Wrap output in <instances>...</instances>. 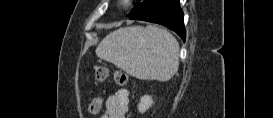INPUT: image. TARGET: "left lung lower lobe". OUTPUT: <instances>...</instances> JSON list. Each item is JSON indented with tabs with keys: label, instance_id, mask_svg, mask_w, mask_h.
Wrapping results in <instances>:
<instances>
[{
	"label": "left lung lower lobe",
	"instance_id": "obj_1",
	"mask_svg": "<svg viewBox=\"0 0 273 118\" xmlns=\"http://www.w3.org/2000/svg\"><path fill=\"white\" fill-rule=\"evenodd\" d=\"M183 11L179 0H166L154 13L145 16L142 21L157 23L176 32L183 41L186 38V30L183 22Z\"/></svg>",
	"mask_w": 273,
	"mask_h": 118
}]
</instances>
